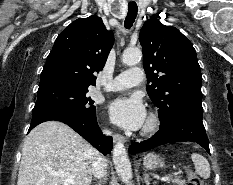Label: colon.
I'll return each mask as SVG.
<instances>
[{
  "label": "colon",
  "instance_id": "obj_1",
  "mask_svg": "<svg viewBox=\"0 0 233 185\" xmlns=\"http://www.w3.org/2000/svg\"><path fill=\"white\" fill-rule=\"evenodd\" d=\"M188 185H205V184L201 178L190 172Z\"/></svg>",
  "mask_w": 233,
  "mask_h": 185
}]
</instances>
